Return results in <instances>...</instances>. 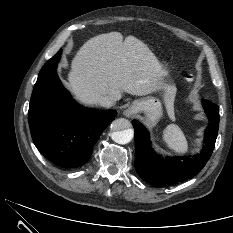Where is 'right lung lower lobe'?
<instances>
[{
	"instance_id": "obj_1",
	"label": "right lung lower lobe",
	"mask_w": 233,
	"mask_h": 233,
	"mask_svg": "<svg viewBox=\"0 0 233 233\" xmlns=\"http://www.w3.org/2000/svg\"><path fill=\"white\" fill-rule=\"evenodd\" d=\"M62 50L42 67L30 100L28 120L38 150L64 168L84 165L116 111L89 109L76 103L62 86L57 63Z\"/></svg>"
}]
</instances>
